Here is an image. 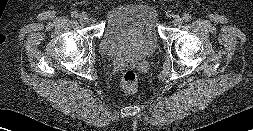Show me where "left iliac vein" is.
Segmentation results:
<instances>
[{
	"label": "left iliac vein",
	"mask_w": 253,
	"mask_h": 131,
	"mask_svg": "<svg viewBox=\"0 0 253 131\" xmlns=\"http://www.w3.org/2000/svg\"><path fill=\"white\" fill-rule=\"evenodd\" d=\"M182 21H183L182 18L176 17L173 19L172 23H173V25H179L182 23Z\"/></svg>",
	"instance_id": "obj_1"
}]
</instances>
